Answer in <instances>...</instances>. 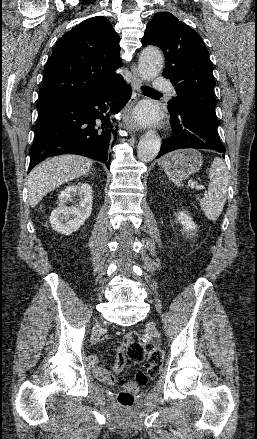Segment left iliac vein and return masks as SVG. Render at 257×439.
<instances>
[{"instance_id": "4c4485c4", "label": "left iliac vein", "mask_w": 257, "mask_h": 439, "mask_svg": "<svg viewBox=\"0 0 257 439\" xmlns=\"http://www.w3.org/2000/svg\"><path fill=\"white\" fill-rule=\"evenodd\" d=\"M151 334L153 335L154 338L159 339V333L156 329V327L154 326V324L151 325V329H150Z\"/></svg>"}]
</instances>
